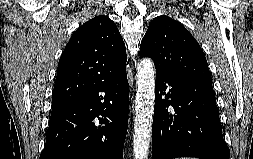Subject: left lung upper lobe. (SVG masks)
Instances as JSON below:
<instances>
[{"label":"left lung upper lobe","instance_id":"obj_1","mask_svg":"<svg viewBox=\"0 0 253 159\" xmlns=\"http://www.w3.org/2000/svg\"><path fill=\"white\" fill-rule=\"evenodd\" d=\"M139 54L154 61L157 74L212 83L205 55L198 42L172 18L162 15L151 21Z\"/></svg>","mask_w":253,"mask_h":159}]
</instances>
